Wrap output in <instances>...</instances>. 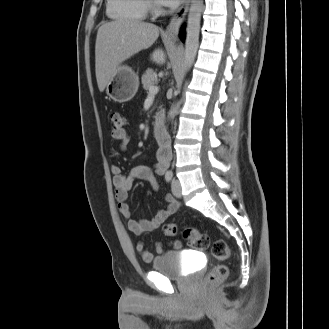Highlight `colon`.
Returning a JSON list of instances; mask_svg holds the SVG:
<instances>
[{"label":"colon","mask_w":329,"mask_h":329,"mask_svg":"<svg viewBox=\"0 0 329 329\" xmlns=\"http://www.w3.org/2000/svg\"><path fill=\"white\" fill-rule=\"evenodd\" d=\"M110 119L112 135L121 136L127 125V118L118 112H113ZM162 232L168 237L175 236L178 232V226L174 223H166L162 227ZM183 238L191 247L195 249L208 250L210 248L209 236L197 228H186L183 231ZM211 252L212 255L219 261H226L230 256L229 249L223 240L215 241L211 247ZM228 273L229 270L225 264H217L207 274L205 283L207 285H213L222 282L227 278Z\"/></svg>","instance_id":"5ec220e1"}]
</instances>
